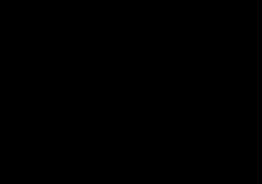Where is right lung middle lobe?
I'll use <instances>...</instances> for the list:
<instances>
[{
    "mask_svg": "<svg viewBox=\"0 0 262 184\" xmlns=\"http://www.w3.org/2000/svg\"><path fill=\"white\" fill-rule=\"evenodd\" d=\"M96 40L91 38H78L62 43L58 50V60L56 64V73L60 77H67L70 81L68 86L62 88L64 93H74L71 86L76 71L78 59V48L82 43L92 45Z\"/></svg>",
    "mask_w": 262,
    "mask_h": 184,
    "instance_id": "dd1d6c3e",
    "label": "right lung middle lobe"
}]
</instances>
